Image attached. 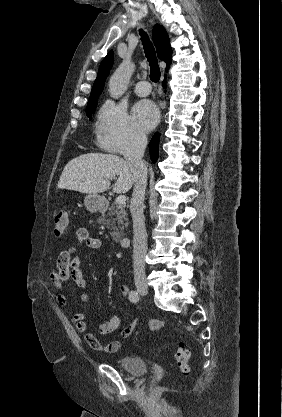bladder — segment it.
Instances as JSON below:
<instances>
[{
  "label": "bladder",
  "mask_w": 282,
  "mask_h": 417,
  "mask_svg": "<svg viewBox=\"0 0 282 417\" xmlns=\"http://www.w3.org/2000/svg\"><path fill=\"white\" fill-rule=\"evenodd\" d=\"M116 365L124 372L132 376H142L148 371V364L142 357L139 356H124L116 359Z\"/></svg>",
  "instance_id": "31cf9c89"
}]
</instances>
